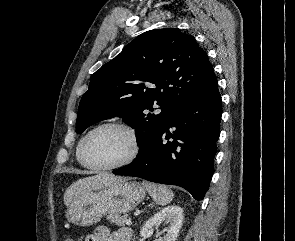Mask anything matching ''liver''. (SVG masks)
I'll return each mask as SVG.
<instances>
[{"label":"liver","mask_w":295,"mask_h":241,"mask_svg":"<svg viewBox=\"0 0 295 241\" xmlns=\"http://www.w3.org/2000/svg\"><path fill=\"white\" fill-rule=\"evenodd\" d=\"M123 178L114 176L109 173H100L94 176H88L77 180L71 184L64 194V204L69 206L72 200L79 195H82L90 190L98 189L99 187L107 184H112Z\"/></svg>","instance_id":"6515ba94"}]
</instances>
